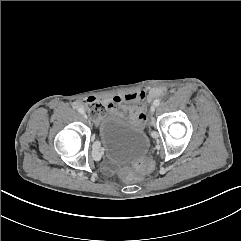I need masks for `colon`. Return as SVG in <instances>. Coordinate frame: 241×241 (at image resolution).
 I'll list each match as a JSON object with an SVG mask.
<instances>
[{"label":"colon","instance_id":"colon-1","mask_svg":"<svg viewBox=\"0 0 241 241\" xmlns=\"http://www.w3.org/2000/svg\"><path fill=\"white\" fill-rule=\"evenodd\" d=\"M84 107L87 112L95 119L103 116L107 110V106L94 97L88 98ZM151 170V164L148 161H142L136 164L134 169H125L122 172L123 178L127 181L135 182L141 179L142 175Z\"/></svg>","mask_w":241,"mask_h":241}]
</instances>
